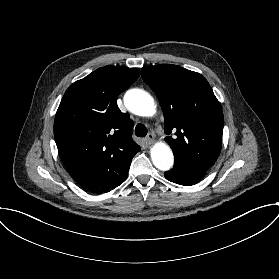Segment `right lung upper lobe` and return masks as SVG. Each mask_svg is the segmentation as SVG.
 I'll return each mask as SVG.
<instances>
[{
  "label": "right lung upper lobe",
  "mask_w": 279,
  "mask_h": 279,
  "mask_svg": "<svg viewBox=\"0 0 279 279\" xmlns=\"http://www.w3.org/2000/svg\"><path fill=\"white\" fill-rule=\"evenodd\" d=\"M140 75L137 68L101 67L65 92L54 122L60 158L85 190L101 194L119 186L140 150L133 123L117 106L118 95Z\"/></svg>",
  "instance_id": "right-lung-upper-lobe-1"
}]
</instances>
